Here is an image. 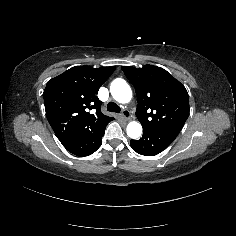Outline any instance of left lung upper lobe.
Segmentation results:
<instances>
[{"label":"left lung upper lobe","instance_id":"1","mask_svg":"<svg viewBox=\"0 0 236 236\" xmlns=\"http://www.w3.org/2000/svg\"><path fill=\"white\" fill-rule=\"evenodd\" d=\"M135 87L136 116L143 129L178 135L189 116V98L185 87L166 70L145 65L122 66Z\"/></svg>","mask_w":236,"mask_h":236}]
</instances>
